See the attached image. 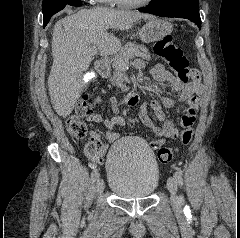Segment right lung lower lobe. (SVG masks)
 <instances>
[{
	"label": "right lung lower lobe",
	"mask_w": 240,
	"mask_h": 238,
	"mask_svg": "<svg viewBox=\"0 0 240 238\" xmlns=\"http://www.w3.org/2000/svg\"><path fill=\"white\" fill-rule=\"evenodd\" d=\"M81 4V2H79V3H76L75 5H72V6H78V5H80Z\"/></svg>",
	"instance_id": "obj_1"
}]
</instances>
